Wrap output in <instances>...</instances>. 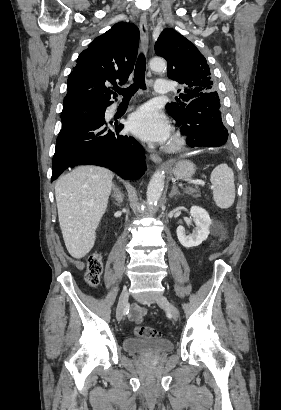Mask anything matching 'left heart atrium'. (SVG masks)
<instances>
[{
    "label": "left heart atrium",
    "mask_w": 281,
    "mask_h": 410,
    "mask_svg": "<svg viewBox=\"0 0 281 410\" xmlns=\"http://www.w3.org/2000/svg\"><path fill=\"white\" fill-rule=\"evenodd\" d=\"M129 130L139 138L164 143L170 137V124L158 109L144 105L134 112L128 120Z\"/></svg>",
    "instance_id": "1"
}]
</instances>
